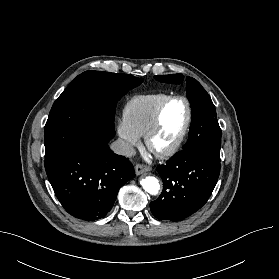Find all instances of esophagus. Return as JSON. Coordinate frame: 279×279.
<instances>
[{"instance_id":"esophagus-1","label":"esophagus","mask_w":279,"mask_h":279,"mask_svg":"<svg viewBox=\"0 0 279 279\" xmlns=\"http://www.w3.org/2000/svg\"><path fill=\"white\" fill-rule=\"evenodd\" d=\"M150 170H151V168L149 166H146V165L137 164L135 166V173L137 175H141V174H143V173H145L147 171H150Z\"/></svg>"}]
</instances>
